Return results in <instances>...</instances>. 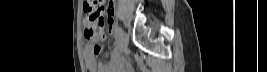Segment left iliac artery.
<instances>
[{
	"label": "left iliac artery",
	"mask_w": 267,
	"mask_h": 72,
	"mask_svg": "<svg viewBox=\"0 0 267 72\" xmlns=\"http://www.w3.org/2000/svg\"><path fill=\"white\" fill-rule=\"evenodd\" d=\"M114 31H115V35L120 38L121 34H122V29L119 27V26H115L114 28Z\"/></svg>",
	"instance_id": "1"
}]
</instances>
